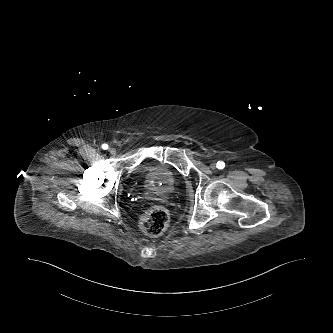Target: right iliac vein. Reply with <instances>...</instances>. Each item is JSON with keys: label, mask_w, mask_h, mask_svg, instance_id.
<instances>
[{"label": "right iliac vein", "mask_w": 333, "mask_h": 333, "mask_svg": "<svg viewBox=\"0 0 333 333\" xmlns=\"http://www.w3.org/2000/svg\"><path fill=\"white\" fill-rule=\"evenodd\" d=\"M109 152H110L111 154H114V153L116 152V149L113 148V147H110V148H109Z\"/></svg>", "instance_id": "right-iliac-vein-1"}]
</instances>
